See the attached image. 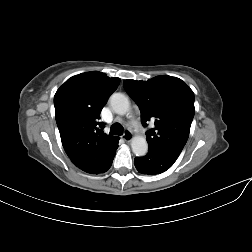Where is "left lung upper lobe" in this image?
Masks as SVG:
<instances>
[{"mask_svg":"<svg viewBox=\"0 0 252 252\" xmlns=\"http://www.w3.org/2000/svg\"><path fill=\"white\" fill-rule=\"evenodd\" d=\"M124 88L137 103L149 146L180 155L189 137L194 117V93L181 79L158 76L148 81L125 80Z\"/></svg>","mask_w":252,"mask_h":252,"instance_id":"left-lung-upper-lobe-1","label":"left lung upper lobe"}]
</instances>
